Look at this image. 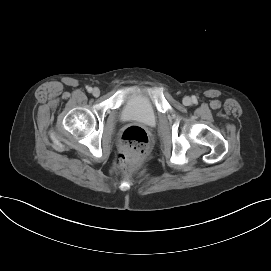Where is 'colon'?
<instances>
[{
	"label": "colon",
	"instance_id": "5ec220e1",
	"mask_svg": "<svg viewBox=\"0 0 271 271\" xmlns=\"http://www.w3.org/2000/svg\"><path fill=\"white\" fill-rule=\"evenodd\" d=\"M148 145L149 137L145 129L139 126L128 127L121 137L119 165L126 170L135 169L145 157Z\"/></svg>",
	"mask_w": 271,
	"mask_h": 271
}]
</instances>
